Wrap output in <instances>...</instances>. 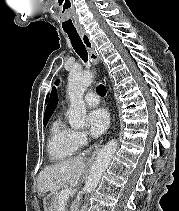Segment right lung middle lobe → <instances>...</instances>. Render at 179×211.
<instances>
[{"label":"right lung middle lobe","instance_id":"dd1d6c3e","mask_svg":"<svg viewBox=\"0 0 179 211\" xmlns=\"http://www.w3.org/2000/svg\"><path fill=\"white\" fill-rule=\"evenodd\" d=\"M48 120H49V118H44V126L47 125Z\"/></svg>","mask_w":179,"mask_h":211}]
</instances>
